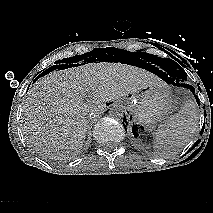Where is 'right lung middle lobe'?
I'll use <instances>...</instances> for the list:
<instances>
[{"label":"right lung middle lobe","mask_w":213,"mask_h":213,"mask_svg":"<svg viewBox=\"0 0 213 213\" xmlns=\"http://www.w3.org/2000/svg\"><path fill=\"white\" fill-rule=\"evenodd\" d=\"M112 49L115 50V48H112ZM99 54H100V48L99 49H95V50H93V51H91L89 53L83 54V55H78V56H74V57H71V58H66L63 61H58L56 63H67V61H68V63L70 64V63H74V62L80 61L83 57L92 58V57H97V55H99Z\"/></svg>","instance_id":"1"}]
</instances>
